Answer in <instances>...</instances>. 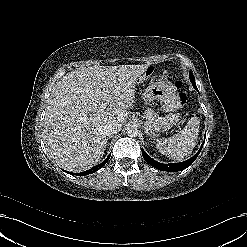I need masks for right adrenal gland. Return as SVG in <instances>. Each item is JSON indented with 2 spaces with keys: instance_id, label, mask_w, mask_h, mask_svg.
<instances>
[{
  "instance_id": "2a0ac1e0",
  "label": "right adrenal gland",
  "mask_w": 247,
  "mask_h": 247,
  "mask_svg": "<svg viewBox=\"0 0 247 247\" xmlns=\"http://www.w3.org/2000/svg\"><path fill=\"white\" fill-rule=\"evenodd\" d=\"M111 137H108L107 139H106V144H107V142H108V140L110 139Z\"/></svg>"
}]
</instances>
